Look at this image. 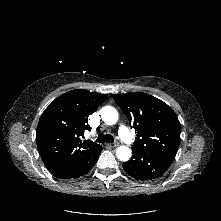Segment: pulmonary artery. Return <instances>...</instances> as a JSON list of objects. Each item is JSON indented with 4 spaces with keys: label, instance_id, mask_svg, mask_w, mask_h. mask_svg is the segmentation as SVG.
<instances>
[{
    "label": "pulmonary artery",
    "instance_id": "obj_1",
    "mask_svg": "<svg viewBox=\"0 0 221 221\" xmlns=\"http://www.w3.org/2000/svg\"><path fill=\"white\" fill-rule=\"evenodd\" d=\"M119 136L127 143L132 142L130 132L126 126L122 125L119 127Z\"/></svg>",
    "mask_w": 221,
    "mask_h": 221
}]
</instances>
